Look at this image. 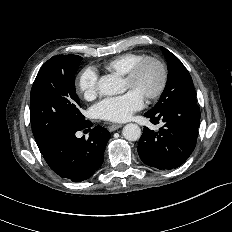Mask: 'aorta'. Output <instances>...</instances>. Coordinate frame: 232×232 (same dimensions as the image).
<instances>
[{"label":"aorta","mask_w":232,"mask_h":232,"mask_svg":"<svg viewBox=\"0 0 232 232\" xmlns=\"http://www.w3.org/2000/svg\"><path fill=\"white\" fill-rule=\"evenodd\" d=\"M98 90L103 95H117L125 91V84L121 78L107 75L99 79ZM122 133L128 141H136L141 136V129L137 124L129 123L124 126Z\"/></svg>","instance_id":"obj_1"}]
</instances>
